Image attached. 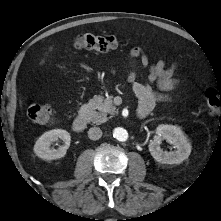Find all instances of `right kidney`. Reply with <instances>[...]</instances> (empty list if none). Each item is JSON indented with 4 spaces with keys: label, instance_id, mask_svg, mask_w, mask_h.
<instances>
[{
    "label": "right kidney",
    "instance_id": "right-kidney-1",
    "mask_svg": "<svg viewBox=\"0 0 221 221\" xmlns=\"http://www.w3.org/2000/svg\"><path fill=\"white\" fill-rule=\"evenodd\" d=\"M61 139L64 142L63 146L58 149H52L51 143ZM71 136L66 130L53 129L45 132L34 145L35 154L44 160H54L62 158L66 155V151L70 146Z\"/></svg>",
    "mask_w": 221,
    "mask_h": 221
}]
</instances>
